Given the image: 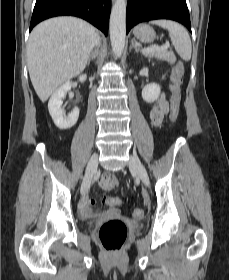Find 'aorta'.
I'll return each instance as SVG.
<instances>
[{"label": "aorta", "mask_w": 229, "mask_h": 280, "mask_svg": "<svg viewBox=\"0 0 229 280\" xmlns=\"http://www.w3.org/2000/svg\"><path fill=\"white\" fill-rule=\"evenodd\" d=\"M126 0H116L110 15V40L113 53L120 57L126 38Z\"/></svg>", "instance_id": "1"}]
</instances>
